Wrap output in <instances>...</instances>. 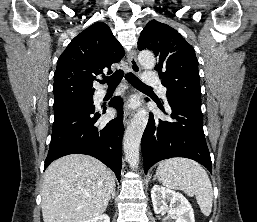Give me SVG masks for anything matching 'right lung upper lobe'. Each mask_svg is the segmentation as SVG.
<instances>
[{
    "instance_id": "right-lung-upper-lobe-1",
    "label": "right lung upper lobe",
    "mask_w": 257,
    "mask_h": 222,
    "mask_svg": "<svg viewBox=\"0 0 257 222\" xmlns=\"http://www.w3.org/2000/svg\"><path fill=\"white\" fill-rule=\"evenodd\" d=\"M124 56L109 26L94 23L78 34L58 59L54 74V103L93 96V81Z\"/></svg>"
}]
</instances>
